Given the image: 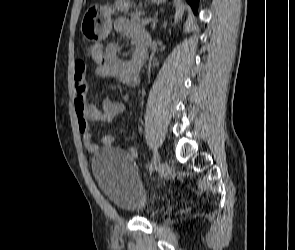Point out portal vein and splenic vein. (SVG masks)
<instances>
[{
  "mask_svg": "<svg viewBox=\"0 0 295 250\" xmlns=\"http://www.w3.org/2000/svg\"><path fill=\"white\" fill-rule=\"evenodd\" d=\"M150 21H151V18H145L142 20V24L147 25L150 23Z\"/></svg>",
  "mask_w": 295,
  "mask_h": 250,
  "instance_id": "1",
  "label": "portal vein and splenic vein"
}]
</instances>
